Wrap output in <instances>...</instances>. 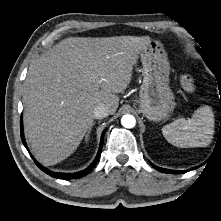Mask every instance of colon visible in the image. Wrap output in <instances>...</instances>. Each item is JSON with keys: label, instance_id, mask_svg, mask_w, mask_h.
Returning <instances> with one entry per match:
<instances>
[{"label": "colon", "instance_id": "colon-1", "mask_svg": "<svg viewBox=\"0 0 221 221\" xmlns=\"http://www.w3.org/2000/svg\"><path fill=\"white\" fill-rule=\"evenodd\" d=\"M180 83L186 92L194 93L196 91L194 79L190 75H183L180 79Z\"/></svg>", "mask_w": 221, "mask_h": 221}]
</instances>
